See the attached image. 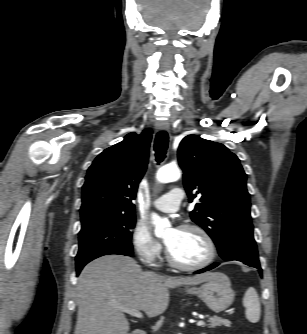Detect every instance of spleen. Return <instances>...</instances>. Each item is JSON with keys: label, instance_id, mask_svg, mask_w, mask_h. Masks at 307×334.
Returning a JSON list of instances; mask_svg holds the SVG:
<instances>
[{"label": "spleen", "instance_id": "obj_1", "mask_svg": "<svg viewBox=\"0 0 307 334\" xmlns=\"http://www.w3.org/2000/svg\"><path fill=\"white\" fill-rule=\"evenodd\" d=\"M243 305L246 308V318L257 323L260 319L261 307L258 294L253 287H249L243 298Z\"/></svg>", "mask_w": 307, "mask_h": 334}]
</instances>
